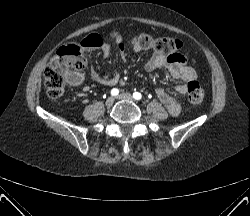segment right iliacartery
<instances>
[{
	"instance_id": "obj_1",
	"label": "right iliac artery",
	"mask_w": 250,
	"mask_h": 216,
	"mask_svg": "<svg viewBox=\"0 0 250 216\" xmlns=\"http://www.w3.org/2000/svg\"><path fill=\"white\" fill-rule=\"evenodd\" d=\"M118 93H119V90L117 88H114V89L111 90V95L112 96H116V95H118Z\"/></svg>"
}]
</instances>
